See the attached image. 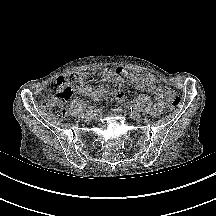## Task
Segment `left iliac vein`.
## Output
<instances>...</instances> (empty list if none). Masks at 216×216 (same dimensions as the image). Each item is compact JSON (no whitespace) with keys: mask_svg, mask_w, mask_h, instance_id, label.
Masks as SVG:
<instances>
[{"mask_svg":"<svg viewBox=\"0 0 216 216\" xmlns=\"http://www.w3.org/2000/svg\"><path fill=\"white\" fill-rule=\"evenodd\" d=\"M129 115L134 120H139L141 118L140 113H138L137 111H131L129 112Z\"/></svg>","mask_w":216,"mask_h":216,"instance_id":"1","label":"left iliac vein"}]
</instances>
